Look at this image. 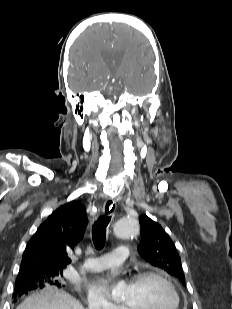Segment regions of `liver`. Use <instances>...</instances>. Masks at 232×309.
Segmentation results:
<instances>
[{"label":"liver","instance_id":"obj_1","mask_svg":"<svg viewBox=\"0 0 232 309\" xmlns=\"http://www.w3.org/2000/svg\"><path fill=\"white\" fill-rule=\"evenodd\" d=\"M16 309H85L81 303L56 288H45L27 297Z\"/></svg>","mask_w":232,"mask_h":309}]
</instances>
